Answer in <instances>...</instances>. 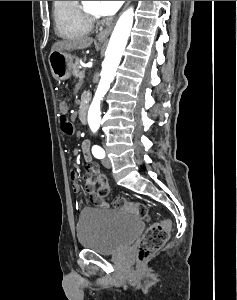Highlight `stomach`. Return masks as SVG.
Returning <instances> with one entry per match:
<instances>
[{
	"label": "stomach",
	"mask_w": 237,
	"mask_h": 300,
	"mask_svg": "<svg viewBox=\"0 0 237 300\" xmlns=\"http://www.w3.org/2000/svg\"><path fill=\"white\" fill-rule=\"evenodd\" d=\"M51 73L56 81H66L71 77L73 57L64 51H53L49 55Z\"/></svg>",
	"instance_id": "obj_1"
}]
</instances>
